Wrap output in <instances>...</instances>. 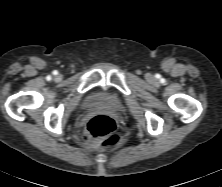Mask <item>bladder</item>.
Returning a JSON list of instances; mask_svg holds the SVG:
<instances>
[{
    "label": "bladder",
    "mask_w": 222,
    "mask_h": 187,
    "mask_svg": "<svg viewBox=\"0 0 222 187\" xmlns=\"http://www.w3.org/2000/svg\"><path fill=\"white\" fill-rule=\"evenodd\" d=\"M83 105L87 108L106 107L119 110L123 107V101L118 95L109 91L95 90L85 97Z\"/></svg>",
    "instance_id": "bladder-1"
}]
</instances>
